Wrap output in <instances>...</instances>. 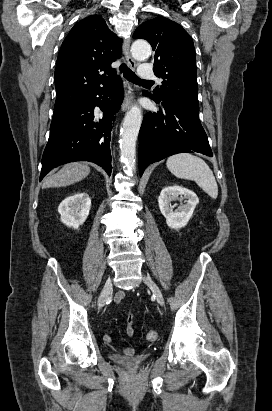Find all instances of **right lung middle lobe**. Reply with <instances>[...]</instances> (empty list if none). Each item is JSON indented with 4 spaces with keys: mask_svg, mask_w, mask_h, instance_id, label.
<instances>
[{
    "mask_svg": "<svg viewBox=\"0 0 272 411\" xmlns=\"http://www.w3.org/2000/svg\"><path fill=\"white\" fill-rule=\"evenodd\" d=\"M64 107H65V106H64ZM59 108H62V107H57V106H55V107H54V110H55V109H59Z\"/></svg>",
    "mask_w": 272,
    "mask_h": 411,
    "instance_id": "right-lung-middle-lobe-1",
    "label": "right lung middle lobe"
}]
</instances>
